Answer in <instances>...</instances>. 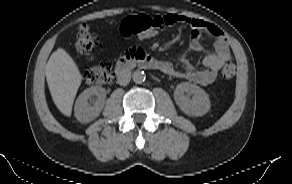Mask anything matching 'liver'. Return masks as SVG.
<instances>
[{
    "instance_id": "1",
    "label": "liver",
    "mask_w": 292,
    "mask_h": 184,
    "mask_svg": "<svg viewBox=\"0 0 292 184\" xmlns=\"http://www.w3.org/2000/svg\"><path fill=\"white\" fill-rule=\"evenodd\" d=\"M45 75L56 107L65 116H70L76 93L82 82L76 63L64 49L58 48L45 66Z\"/></svg>"
}]
</instances>
